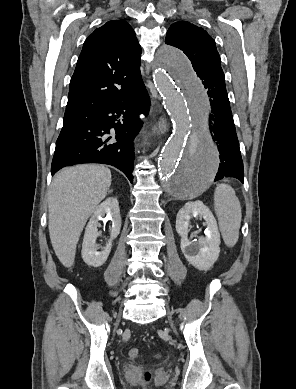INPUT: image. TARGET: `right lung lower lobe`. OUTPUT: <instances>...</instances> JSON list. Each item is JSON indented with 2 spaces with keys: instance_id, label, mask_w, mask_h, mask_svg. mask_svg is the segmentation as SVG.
Wrapping results in <instances>:
<instances>
[{
  "instance_id": "right-lung-lower-lobe-1",
  "label": "right lung lower lobe",
  "mask_w": 296,
  "mask_h": 389,
  "mask_svg": "<svg viewBox=\"0 0 296 389\" xmlns=\"http://www.w3.org/2000/svg\"><path fill=\"white\" fill-rule=\"evenodd\" d=\"M149 106L140 74L119 101L63 126L56 141L52 175L65 166L102 163L118 168L132 183L133 140L142 127L139 115H147ZM111 129L115 130L112 135Z\"/></svg>"
}]
</instances>
